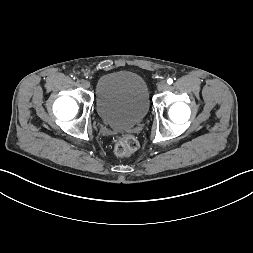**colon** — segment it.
<instances>
[{
    "instance_id": "1",
    "label": "colon",
    "mask_w": 253,
    "mask_h": 253,
    "mask_svg": "<svg viewBox=\"0 0 253 253\" xmlns=\"http://www.w3.org/2000/svg\"><path fill=\"white\" fill-rule=\"evenodd\" d=\"M138 147V141L133 135H123L115 144L114 152L118 157L133 153Z\"/></svg>"
}]
</instances>
